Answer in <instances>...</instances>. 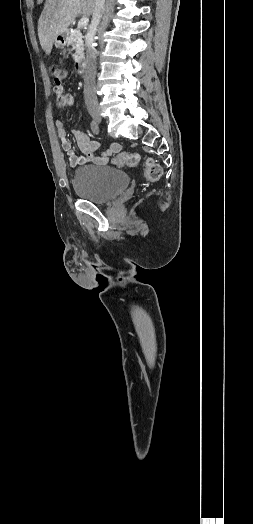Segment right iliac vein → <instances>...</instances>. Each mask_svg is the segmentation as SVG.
Returning a JSON list of instances; mask_svg holds the SVG:
<instances>
[{
	"mask_svg": "<svg viewBox=\"0 0 253 524\" xmlns=\"http://www.w3.org/2000/svg\"><path fill=\"white\" fill-rule=\"evenodd\" d=\"M89 113H90V115L92 116V118H93L95 121H97V122H100V121H101V116H100V114H99L98 109H96V108H91V109L89 110Z\"/></svg>",
	"mask_w": 253,
	"mask_h": 524,
	"instance_id": "obj_1",
	"label": "right iliac vein"
}]
</instances>
